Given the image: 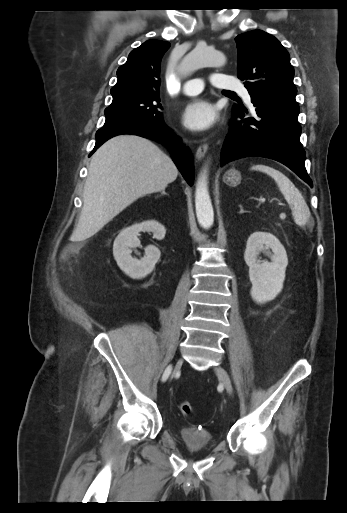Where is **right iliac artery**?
I'll return each mask as SVG.
<instances>
[{
    "instance_id": "right-iliac-artery-1",
    "label": "right iliac artery",
    "mask_w": 347,
    "mask_h": 513,
    "mask_svg": "<svg viewBox=\"0 0 347 513\" xmlns=\"http://www.w3.org/2000/svg\"><path fill=\"white\" fill-rule=\"evenodd\" d=\"M171 370H172V366H171V365H169V366L165 369V371H164V373H163L162 381H166V380L168 379V377H169V375H170V373H171Z\"/></svg>"
}]
</instances>
